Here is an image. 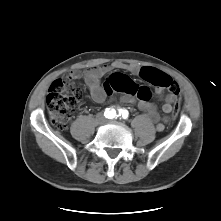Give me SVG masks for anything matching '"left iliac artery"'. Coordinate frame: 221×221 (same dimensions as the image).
I'll use <instances>...</instances> for the list:
<instances>
[{"mask_svg": "<svg viewBox=\"0 0 221 221\" xmlns=\"http://www.w3.org/2000/svg\"><path fill=\"white\" fill-rule=\"evenodd\" d=\"M121 114H122L123 119H127V117H128V111L127 110H122V112L119 115H121Z\"/></svg>", "mask_w": 221, "mask_h": 221, "instance_id": "left-iliac-artery-1", "label": "left iliac artery"}]
</instances>
